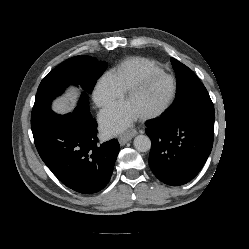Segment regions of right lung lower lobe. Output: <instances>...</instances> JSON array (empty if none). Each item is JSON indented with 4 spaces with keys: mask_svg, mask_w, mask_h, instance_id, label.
Segmentation results:
<instances>
[{
    "mask_svg": "<svg viewBox=\"0 0 249 249\" xmlns=\"http://www.w3.org/2000/svg\"><path fill=\"white\" fill-rule=\"evenodd\" d=\"M31 126L40 157L63 184L83 194L108 184L120 147L116 139L98 143L88 102L66 115L50 111Z\"/></svg>",
    "mask_w": 249,
    "mask_h": 249,
    "instance_id": "1",
    "label": "right lung lower lobe"
}]
</instances>
